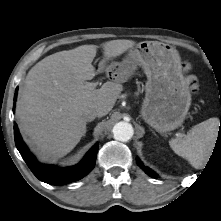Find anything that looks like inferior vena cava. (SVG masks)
<instances>
[{"mask_svg":"<svg viewBox=\"0 0 221 221\" xmlns=\"http://www.w3.org/2000/svg\"><path fill=\"white\" fill-rule=\"evenodd\" d=\"M99 115V109L98 108H87L83 112V117L86 121L90 122L94 120Z\"/></svg>","mask_w":221,"mask_h":221,"instance_id":"inferior-vena-cava-1","label":"inferior vena cava"}]
</instances>
